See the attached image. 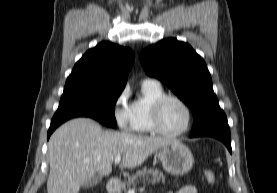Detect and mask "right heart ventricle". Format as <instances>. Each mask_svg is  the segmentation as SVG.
Returning <instances> with one entry per match:
<instances>
[{"mask_svg":"<svg viewBox=\"0 0 277 193\" xmlns=\"http://www.w3.org/2000/svg\"><path fill=\"white\" fill-rule=\"evenodd\" d=\"M165 92L160 84H142L141 96L130 104L131 129L136 133H154L151 123V107Z\"/></svg>","mask_w":277,"mask_h":193,"instance_id":"obj_1","label":"right heart ventricle"}]
</instances>
